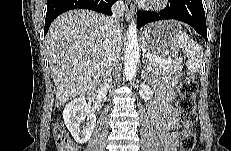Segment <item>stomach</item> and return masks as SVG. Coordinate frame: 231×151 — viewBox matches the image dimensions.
Segmentation results:
<instances>
[{
  "label": "stomach",
  "instance_id": "1",
  "mask_svg": "<svg viewBox=\"0 0 231 151\" xmlns=\"http://www.w3.org/2000/svg\"><path fill=\"white\" fill-rule=\"evenodd\" d=\"M182 33L180 24L174 20L155 22L143 30L142 46L157 56H176L181 49L178 36Z\"/></svg>",
  "mask_w": 231,
  "mask_h": 151
}]
</instances>
